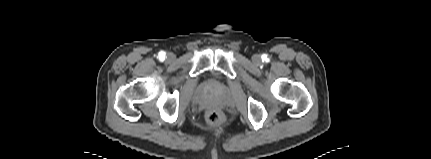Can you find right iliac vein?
<instances>
[{
	"instance_id": "right-iliac-vein-1",
	"label": "right iliac vein",
	"mask_w": 431,
	"mask_h": 159,
	"mask_svg": "<svg viewBox=\"0 0 431 159\" xmlns=\"http://www.w3.org/2000/svg\"><path fill=\"white\" fill-rule=\"evenodd\" d=\"M173 58H174V56H173L172 54H169V55H168V59H169V60H172Z\"/></svg>"
}]
</instances>
